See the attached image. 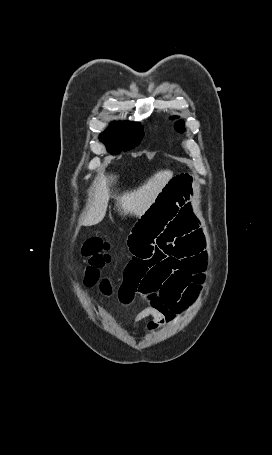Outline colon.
Here are the masks:
<instances>
[{"label": "colon", "mask_w": 272, "mask_h": 455, "mask_svg": "<svg viewBox=\"0 0 272 455\" xmlns=\"http://www.w3.org/2000/svg\"><path fill=\"white\" fill-rule=\"evenodd\" d=\"M110 245L107 241L99 238H89L83 245L81 254L85 261L83 269V284L90 288L99 282L100 290L107 295L112 292L111 284L107 279H99V269L107 265L111 257L109 255Z\"/></svg>", "instance_id": "1"}]
</instances>
